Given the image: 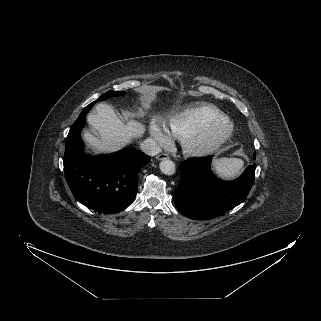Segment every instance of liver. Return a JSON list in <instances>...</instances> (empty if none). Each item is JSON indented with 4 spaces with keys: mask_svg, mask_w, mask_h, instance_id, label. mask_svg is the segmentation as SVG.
<instances>
[{
    "mask_svg": "<svg viewBox=\"0 0 321 321\" xmlns=\"http://www.w3.org/2000/svg\"><path fill=\"white\" fill-rule=\"evenodd\" d=\"M95 109V113L88 115V122L98 131L99 137L89 131H84L83 136L96 151L115 152L145 133L143 124L135 120L123 122L107 104H97Z\"/></svg>",
    "mask_w": 321,
    "mask_h": 321,
    "instance_id": "obj_1",
    "label": "liver"
}]
</instances>
